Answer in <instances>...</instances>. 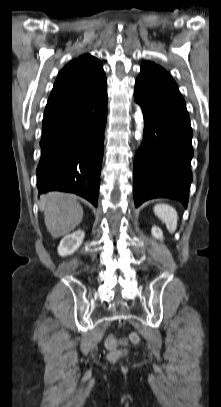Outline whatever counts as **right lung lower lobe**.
<instances>
[{"label":"right lung lower lobe","instance_id":"98d812e1","mask_svg":"<svg viewBox=\"0 0 221 407\" xmlns=\"http://www.w3.org/2000/svg\"><path fill=\"white\" fill-rule=\"evenodd\" d=\"M107 90L44 113L37 173L40 193H76L97 206L107 117Z\"/></svg>","mask_w":221,"mask_h":407}]
</instances>
